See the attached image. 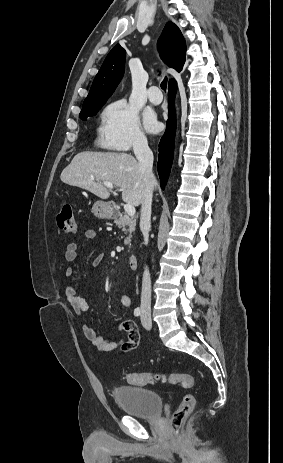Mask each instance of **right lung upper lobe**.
Instances as JSON below:
<instances>
[{
	"label": "right lung upper lobe",
	"mask_w": 283,
	"mask_h": 463,
	"mask_svg": "<svg viewBox=\"0 0 283 463\" xmlns=\"http://www.w3.org/2000/svg\"><path fill=\"white\" fill-rule=\"evenodd\" d=\"M157 45L161 59L180 72L185 63L186 43L174 23L167 22ZM125 55L126 51L120 44L113 47L96 75L83 107L107 101L112 95L124 74Z\"/></svg>",
	"instance_id": "cb5924a9"
}]
</instances>
